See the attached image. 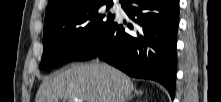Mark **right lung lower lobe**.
<instances>
[{"label":"right lung lower lobe","instance_id":"1","mask_svg":"<svg viewBox=\"0 0 221 102\" xmlns=\"http://www.w3.org/2000/svg\"><path fill=\"white\" fill-rule=\"evenodd\" d=\"M122 8L133 20V32L122 24L112 25L74 60L99 57L136 78L155 80L175 95L176 44L179 22L178 0H122Z\"/></svg>","mask_w":221,"mask_h":102}]
</instances>
